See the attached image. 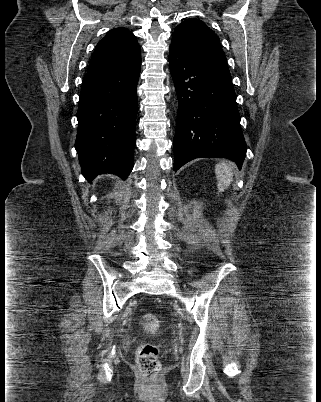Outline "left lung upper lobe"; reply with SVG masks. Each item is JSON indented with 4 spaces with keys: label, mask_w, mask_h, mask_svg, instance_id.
I'll use <instances>...</instances> for the list:
<instances>
[{
    "label": "left lung upper lobe",
    "mask_w": 321,
    "mask_h": 402,
    "mask_svg": "<svg viewBox=\"0 0 321 402\" xmlns=\"http://www.w3.org/2000/svg\"><path fill=\"white\" fill-rule=\"evenodd\" d=\"M171 45L192 57L227 65L219 38L199 19L180 23L172 34Z\"/></svg>",
    "instance_id": "left-lung-upper-lobe-1"
}]
</instances>
